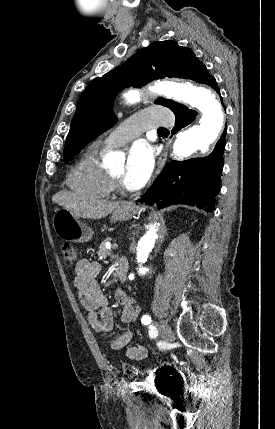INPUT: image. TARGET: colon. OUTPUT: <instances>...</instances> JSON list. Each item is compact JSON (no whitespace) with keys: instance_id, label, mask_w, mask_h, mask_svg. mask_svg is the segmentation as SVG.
<instances>
[{"instance_id":"colon-1","label":"colon","mask_w":275,"mask_h":429,"mask_svg":"<svg viewBox=\"0 0 275 429\" xmlns=\"http://www.w3.org/2000/svg\"><path fill=\"white\" fill-rule=\"evenodd\" d=\"M62 250H63L64 260H65L67 265H72L74 262L77 261L78 256H79V250L76 246H74L71 243H65L63 245ZM160 367L161 368H169L170 362L165 359L161 362ZM109 380L111 382H113L115 380V374L113 372H110Z\"/></svg>"}]
</instances>
